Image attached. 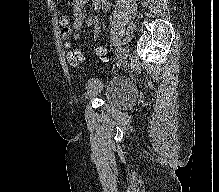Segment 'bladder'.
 <instances>
[{"mask_svg": "<svg viewBox=\"0 0 219 192\" xmlns=\"http://www.w3.org/2000/svg\"><path fill=\"white\" fill-rule=\"evenodd\" d=\"M133 83L126 81H114L103 88L102 100L106 107L122 108L128 105L135 97Z\"/></svg>", "mask_w": 219, "mask_h": 192, "instance_id": "obj_1", "label": "bladder"}]
</instances>
